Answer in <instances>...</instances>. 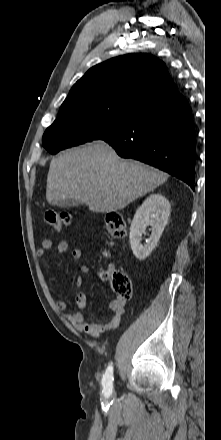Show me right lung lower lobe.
I'll list each match as a JSON object with an SVG mask.
<instances>
[{
    "instance_id": "obj_1",
    "label": "right lung lower lobe",
    "mask_w": 221,
    "mask_h": 440,
    "mask_svg": "<svg viewBox=\"0 0 221 440\" xmlns=\"http://www.w3.org/2000/svg\"><path fill=\"white\" fill-rule=\"evenodd\" d=\"M100 139L119 156L159 168L194 190L195 129L189 104L178 91L142 105Z\"/></svg>"
}]
</instances>
